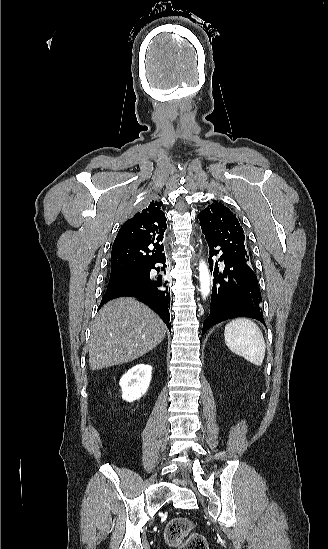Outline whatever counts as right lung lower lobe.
Listing matches in <instances>:
<instances>
[{
	"mask_svg": "<svg viewBox=\"0 0 328 549\" xmlns=\"http://www.w3.org/2000/svg\"><path fill=\"white\" fill-rule=\"evenodd\" d=\"M165 262V255H163L147 270L143 279L108 289L102 298L99 308L110 299L120 296H134L154 310L171 331V323L169 322L170 314L168 311V306L170 305V292L168 291L167 281L163 278L162 274H151L152 269H155L157 272L164 271V267L161 269L159 267L156 268L155 264L161 263L165 266Z\"/></svg>",
	"mask_w": 328,
	"mask_h": 549,
	"instance_id": "right-lung-lower-lobe-1",
	"label": "right lung lower lobe"
}]
</instances>
